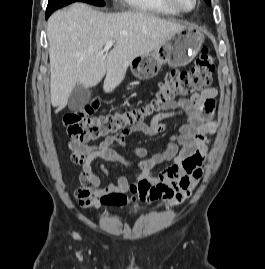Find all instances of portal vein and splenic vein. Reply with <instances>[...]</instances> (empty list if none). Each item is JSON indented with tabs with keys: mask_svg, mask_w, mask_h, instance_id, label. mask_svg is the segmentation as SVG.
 I'll list each match as a JSON object with an SVG mask.
<instances>
[{
	"mask_svg": "<svg viewBox=\"0 0 265 269\" xmlns=\"http://www.w3.org/2000/svg\"><path fill=\"white\" fill-rule=\"evenodd\" d=\"M113 46V41H108L106 44H105V50H108L110 49L111 47Z\"/></svg>",
	"mask_w": 265,
	"mask_h": 269,
	"instance_id": "18ae733b",
	"label": "portal vein and splenic vein"
}]
</instances>
